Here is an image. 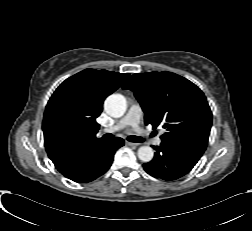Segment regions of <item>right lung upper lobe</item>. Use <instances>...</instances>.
<instances>
[{"label":"right lung upper lobe","instance_id":"cb5924a9","mask_svg":"<svg viewBox=\"0 0 252 231\" xmlns=\"http://www.w3.org/2000/svg\"><path fill=\"white\" fill-rule=\"evenodd\" d=\"M128 73L85 69L66 79L51 96L44 113L45 148L64 176L75 169L82 150L96 137L105 98L128 78Z\"/></svg>","mask_w":252,"mask_h":231}]
</instances>
